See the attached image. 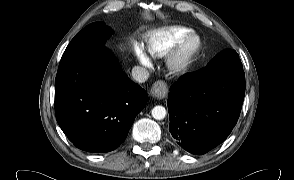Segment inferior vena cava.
<instances>
[{"instance_id": "602c4592", "label": "inferior vena cava", "mask_w": 294, "mask_h": 180, "mask_svg": "<svg viewBox=\"0 0 294 180\" xmlns=\"http://www.w3.org/2000/svg\"><path fill=\"white\" fill-rule=\"evenodd\" d=\"M132 77L135 81L139 83H144L149 78V72L143 67L135 66L132 69Z\"/></svg>"}]
</instances>
